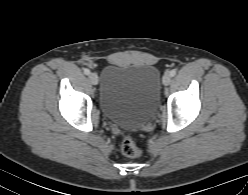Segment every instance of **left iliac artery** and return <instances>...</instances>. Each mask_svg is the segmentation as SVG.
<instances>
[{"mask_svg":"<svg viewBox=\"0 0 248 195\" xmlns=\"http://www.w3.org/2000/svg\"><path fill=\"white\" fill-rule=\"evenodd\" d=\"M175 75H176V70H175V69L171 70V71H170V76L173 77V76H175Z\"/></svg>","mask_w":248,"mask_h":195,"instance_id":"obj_1","label":"left iliac artery"}]
</instances>
